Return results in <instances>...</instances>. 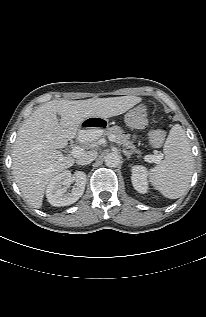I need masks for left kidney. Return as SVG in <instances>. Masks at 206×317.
<instances>
[{"mask_svg":"<svg viewBox=\"0 0 206 317\" xmlns=\"http://www.w3.org/2000/svg\"><path fill=\"white\" fill-rule=\"evenodd\" d=\"M133 187L139 193L145 194L148 191L147 170L144 166L135 165L132 167L131 176Z\"/></svg>","mask_w":206,"mask_h":317,"instance_id":"5707ae66","label":"left kidney"}]
</instances>
